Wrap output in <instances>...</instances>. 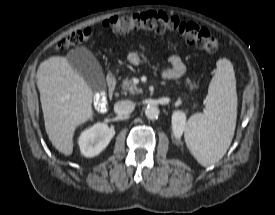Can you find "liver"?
I'll return each instance as SVG.
<instances>
[{
  "instance_id": "1",
  "label": "liver",
  "mask_w": 275,
  "mask_h": 215,
  "mask_svg": "<svg viewBox=\"0 0 275 215\" xmlns=\"http://www.w3.org/2000/svg\"><path fill=\"white\" fill-rule=\"evenodd\" d=\"M36 78L46 133L52 145L69 156L75 129L93 116L92 90L62 56L42 62Z\"/></svg>"
}]
</instances>
